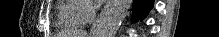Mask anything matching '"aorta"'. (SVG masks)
<instances>
[{
    "label": "aorta",
    "instance_id": "1",
    "mask_svg": "<svg viewBox=\"0 0 219 37\" xmlns=\"http://www.w3.org/2000/svg\"><path fill=\"white\" fill-rule=\"evenodd\" d=\"M131 4L132 0H113L109 11L101 22L97 37H115Z\"/></svg>",
    "mask_w": 219,
    "mask_h": 37
}]
</instances>
